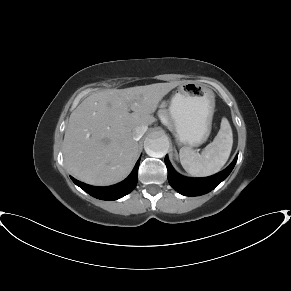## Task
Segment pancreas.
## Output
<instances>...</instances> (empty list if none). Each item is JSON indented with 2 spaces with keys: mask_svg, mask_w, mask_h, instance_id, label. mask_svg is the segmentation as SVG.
<instances>
[{
  "mask_svg": "<svg viewBox=\"0 0 291 291\" xmlns=\"http://www.w3.org/2000/svg\"><path fill=\"white\" fill-rule=\"evenodd\" d=\"M165 107H166V103L163 102V103L161 104V108H162V109L160 110V117L163 118V119H165V120L168 122V124H170L169 113H168V111L165 109Z\"/></svg>",
  "mask_w": 291,
  "mask_h": 291,
  "instance_id": "pancreas-1",
  "label": "pancreas"
}]
</instances>
